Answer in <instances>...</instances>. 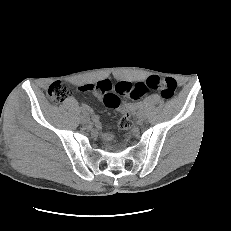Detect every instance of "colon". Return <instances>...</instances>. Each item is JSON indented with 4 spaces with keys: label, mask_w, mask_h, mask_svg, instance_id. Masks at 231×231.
<instances>
[{
    "label": "colon",
    "mask_w": 231,
    "mask_h": 231,
    "mask_svg": "<svg viewBox=\"0 0 231 231\" xmlns=\"http://www.w3.org/2000/svg\"><path fill=\"white\" fill-rule=\"evenodd\" d=\"M177 83L170 77L150 76L144 82L129 83L120 82L115 85L112 92V85L104 80L96 84L95 90L103 96L104 103L113 108H120L121 96H127L132 99H138L148 91L158 92L164 99L171 100L175 96ZM71 94V88L64 82L56 81L52 83L47 90V97L54 103H61ZM120 119L118 126L122 130L131 127L132 121L130 111L120 109Z\"/></svg>",
    "instance_id": "colon-1"
}]
</instances>
